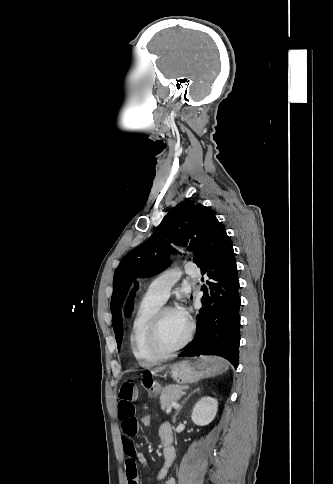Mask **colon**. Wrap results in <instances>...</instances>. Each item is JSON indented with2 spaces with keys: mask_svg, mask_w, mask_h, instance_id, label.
<instances>
[{
  "mask_svg": "<svg viewBox=\"0 0 333 484\" xmlns=\"http://www.w3.org/2000/svg\"><path fill=\"white\" fill-rule=\"evenodd\" d=\"M138 422H139V426L140 428H149L151 426V423H152V418L149 414H142L139 418H138Z\"/></svg>",
  "mask_w": 333,
  "mask_h": 484,
  "instance_id": "colon-1",
  "label": "colon"
}]
</instances>
